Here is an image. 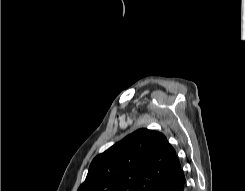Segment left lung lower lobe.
Returning a JSON list of instances; mask_svg holds the SVG:
<instances>
[{
  "instance_id": "0a47b994",
  "label": "left lung lower lobe",
  "mask_w": 245,
  "mask_h": 191,
  "mask_svg": "<svg viewBox=\"0 0 245 191\" xmlns=\"http://www.w3.org/2000/svg\"><path fill=\"white\" fill-rule=\"evenodd\" d=\"M186 179L181 163L178 162L156 191H186Z\"/></svg>"
}]
</instances>
